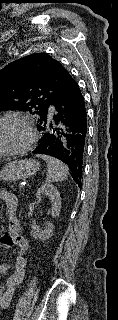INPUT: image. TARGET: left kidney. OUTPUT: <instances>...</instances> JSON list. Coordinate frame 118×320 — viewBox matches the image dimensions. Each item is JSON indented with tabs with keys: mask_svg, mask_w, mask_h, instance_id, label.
Listing matches in <instances>:
<instances>
[{
	"mask_svg": "<svg viewBox=\"0 0 118 320\" xmlns=\"http://www.w3.org/2000/svg\"><path fill=\"white\" fill-rule=\"evenodd\" d=\"M44 197H49L51 202L50 214L52 217L59 216L61 209V197L58 189L51 184L45 183L41 185L36 193L38 201H42ZM31 235L34 239H45L51 232V225L47 222L42 227L34 225Z\"/></svg>",
	"mask_w": 118,
	"mask_h": 320,
	"instance_id": "5707ae66",
	"label": "left kidney"
}]
</instances>
